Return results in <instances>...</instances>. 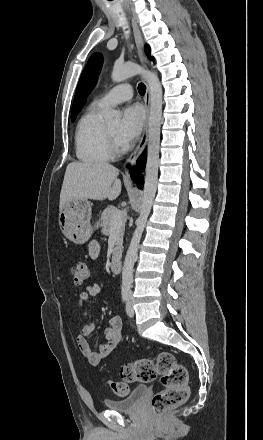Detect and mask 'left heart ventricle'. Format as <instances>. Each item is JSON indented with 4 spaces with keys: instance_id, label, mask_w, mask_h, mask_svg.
Here are the masks:
<instances>
[{
    "instance_id": "b2bd125f",
    "label": "left heart ventricle",
    "mask_w": 263,
    "mask_h": 440,
    "mask_svg": "<svg viewBox=\"0 0 263 440\" xmlns=\"http://www.w3.org/2000/svg\"><path fill=\"white\" fill-rule=\"evenodd\" d=\"M107 126H108L110 132L113 134V136L117 140V130H118L119 123L118 122H114V123L108 124Z\"/></svg>"
}]
</instances>
